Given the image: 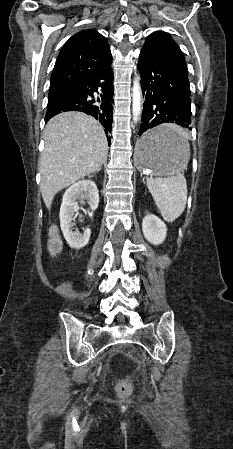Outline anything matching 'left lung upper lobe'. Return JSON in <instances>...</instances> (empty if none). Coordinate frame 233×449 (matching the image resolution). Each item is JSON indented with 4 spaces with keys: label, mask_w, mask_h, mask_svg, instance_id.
<instances>
[{
    "label": "left lung upper lobe",
    "mask_w": 233,
    "mask_h": 449,
    "mask_svg": "<svg viewBox=\"0 0 233 449\" xmlns=\"http://www.w3.org/2000/svg\"><path fill=\"white\" fill-rule=\"evenodd\" d=\"M148 52L163 62H166L182 72L188 74L187 65L179 46L171 35L164 31L151 33L143 46Z\"/></svg>",
    "instance_id": "obj_1"
}]
</instances>
